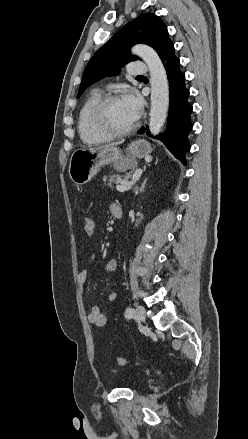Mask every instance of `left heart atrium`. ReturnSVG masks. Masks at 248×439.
<instances>
[{"instance_id": "39dd6f15", "label": "left heart atrium", "mask_w": 248, "mask_h": 439, "mask_svg": "<svg viewBox=\"0 0 248 439\" xmlns=\"http://www.w3.org/2000/svg\"><path fill=\"white\" fill-rule=\"evenodd\" d=\"M122 100L124 101L125 105L129 108L135 119H137L140 116L143 108V101L141 97L137 93L131 91L128 92L123 97Z\"/></svg>"}]
</instances>
